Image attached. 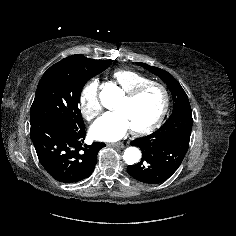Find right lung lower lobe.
I'll list each match as a JSON object with an SVG mask.
<instances>
[{
	"label": "right lung lower lobe",
	"mask_w": 236,
	"mask_h": 236,
	"mask_svg": "<svg viewBox=\"0 0 236 236\" xmlns=\"http://www.w3.org/2000/svg\"><path fill=\"white\" fill-rule=\"evenodd\" d=\"M31 140L44 169L57 181L73 183L89 177L96 165L98 151L105 143H84V125L51 119L30 122Z\"/></svg>",
	"instance_id": "right-lung-lower-lobe-1"
}]
</instances>
